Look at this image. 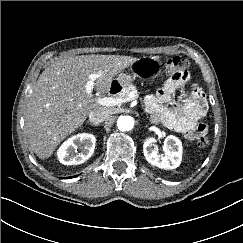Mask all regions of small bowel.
Returning a JSON list of instances; mask_svg holds the SVG:
<instances>
[{"mask_svg":"<svg viewBox=\"0 0 243 243\" xmlns=\"http://www.w3.org/2000/svg\"><path fill=\"white\" fill-rule=\"evenodd\" d=\"M188 75L184 77L171 76L158 89L155 95L146 99V109L152 114V120L174 130L187 140H195L207 133V125L203 123L208 110V103L202 90L195 87L190 93L183 95L180 106L169 107L176 91L181 88Z\"/></svg>","mask_w":243,"mask_h":243,"instance_id":"small-bowel-1","label":"small bowel"}]
</instances>
